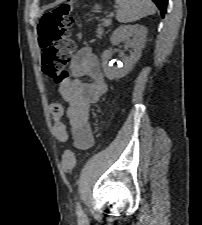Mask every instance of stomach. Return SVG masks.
Wrapping results in <instances>:
<instances>
[{
    "label": "stomach",
    "mask_w": 202,
    "mask_h": 225,
    "mask_svg": "<svg viewBox=\"0 0 202 225\" xmlns=\"http://www.w3.org/2000/svg\"><path fill=\"white\" fill-rule=\"evenodd\" d=\"M94 9H95V11L97 12V11H99L100 6H99V5H95Z\"/></svg>",
    "instance_id": "obj_1"
}]
</instances>
